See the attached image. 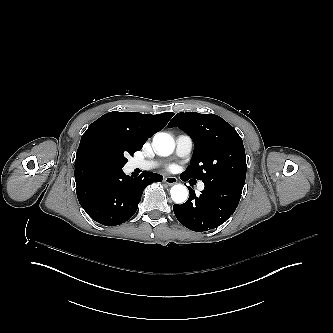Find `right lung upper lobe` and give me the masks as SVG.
<instances>
[{
  "label": "right lung upper lobe",
  "instance_id": "1",
  "mask_svg": "<svg viewBox=\"0 0 333 333\" xmlns=\"http://www.w3.org/2000/svg\"><path fill=\"white\" fill-rule=\"evenodd\" d=\"M173 115L171 112L157 115L135 112L106 113L93 122L82 135L76 158H80L83 145L97 136L122 142L138 151L148 138L166 126Z\"/></svg>",
  "mask_w": 333,
  "mask_h": 333
}]
</instances>
